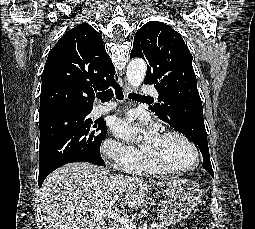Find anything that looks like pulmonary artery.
Wrapping results in <instances>:
<instances>
[{
  "label": "pulmonary artery",
  "mask_w": 255,
  "mask_h": 229,
  "mask_svg": "<svg viewBox=\"0 0 255 229\" xmlns=\"http://www.w3.org/2000/svg\"><path fill=\"white\" fill-rule=\"evenodd\" d=\"M143 93L145 94H152V95H157V91L153 86H145L142 89ZM116 104L115 103H107L104 105H100L96 108V114L101 115V114H105V113H109L111 111H113L116 108Z\"/></svg>",
  "instance_id": "pulmonary-artery-1"
}]
</instances>
